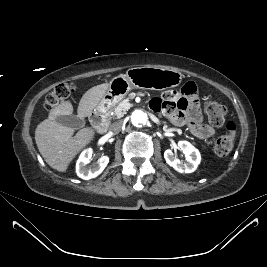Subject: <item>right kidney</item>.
Wrapping results in <instances>:
<instances>
[{"instance_id": "obj_1", "label": "right kidney", "mask_w": 267, "mask_h": 267, "mask_svg": "<svg viewBox=\"0 0 267 267\" xmlns=\"http://www.w3.org/2000/svg\"><path fill=\"white\" fill-rule=\"evenodd\" d=\"M92 159V149L84 150L76 163V173L77 175L84 179L89 180L91 178L97 177L105 169L109 162L108 156H102L97 160V163L93 164L90 168H87V164L90 163Z\"/></svg>"}]
</instances>
